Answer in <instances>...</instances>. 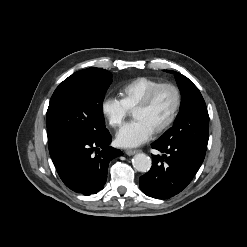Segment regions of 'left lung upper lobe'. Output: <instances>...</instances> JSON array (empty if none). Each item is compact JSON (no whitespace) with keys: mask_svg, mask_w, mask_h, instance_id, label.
I'll return each mask as SVG.
<instances>
[{"mask_svg":"<svg viewBox=\"0 0 247 247\" xmlns=\"http://www.w3.org/2000/svg\"><path fill=\"white\" fill-rule=\"evenodd\" d=\"M166 71L176 74L175 77L181 91L182 102L174 125L158 140H191L196 144L207 146L209 115L200 91L184 75L171 70Z\"/></svg>","mask_w":247,"mask_h":247,"instance_id":"left-lung-upper-lobe-1","label":"left lung upper lobe"}]
</instances>
